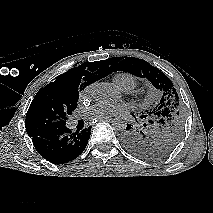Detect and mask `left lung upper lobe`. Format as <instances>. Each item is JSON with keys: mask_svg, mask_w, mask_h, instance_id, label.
Returning <instances> with one entry per match:
<instances>
[{"mask_svg": "<svg viewBox=\"0 0 213 213\" xmlns=\"http://www.w3.org/2000/svg\"><path fill=\"white\" fill-rule=\"evenodd\" d=\"M103 64L109 74L125 71L146 78L162 94L160 102L140 116L144 122L139 128L132 129L127 124L123 136L125 147L145 159L162 158L172 152L182 137L184 109L170 79L158 68L135 57L109 58Z\"/></svg>", "mask_w": 213, "mask_h": 213, "instance_id": "left-lung-upper-lobe-1", "label": "left lung upper lobe"}]
</instances>
